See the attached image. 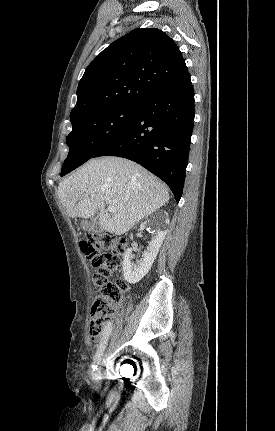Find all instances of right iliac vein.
<instances>
[{
  "label": "right iliac vein",
  "instance_id": "63e3f726",
  "mask_svg": "<svg viewBox=\"0 0 275 431\" xmlns=\"http://www.w3.org/2000/svg\"><path fill=\"white\" fill-rule=\"evenodd\" d=\"M101 363V359H100V361H99V363L98 364H100ZM99 373H100V368L99 369H97V375H99Z\"/></svg>",
  "mask_w": 275,
  "mask_h": 431
}]
</instances>
